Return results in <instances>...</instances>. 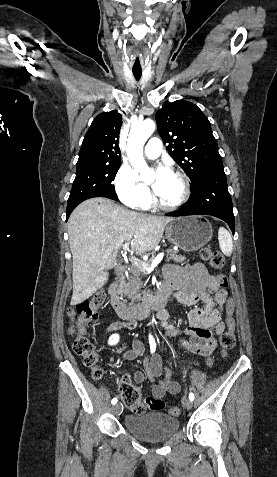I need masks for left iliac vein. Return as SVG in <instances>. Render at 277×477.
Here are the masks:
<instances>
[{"mask_svg":"<svg viewBox=\"0 0 277 477\" xmlns=\"http://www.w3.org/2000/svg\"><path fill=\"white\" fill-rule=\"evenodd\" d=\"M182 403H183V406H184L186 409H188V410L191 409L192 406H193L192 401H191L190 399H188V398H183Z\"/></svg>","mask_w":277,"mask_h":477,"instance_id":"1","label":"left iliac vein"}]
</instances>
